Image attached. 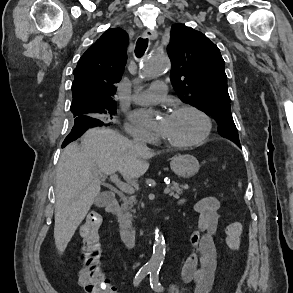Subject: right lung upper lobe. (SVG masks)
<instances>
[{"label": "right lung upper lobe", "mask_w": 293, "mask_h": 293, "mask_svg": "<svg viewBox=\"0 0 293 293\" xmlns=\"http://www.w3.org/2000/svg\"><path fill=\"white\" fill-rule=\"evenodd\" d=\"M127 44L124 30L108 29L79 59L72 84L71 110H75L76 117L95 118L92 109L115 104V85L124 71Z\"/></svg>", "instance_id": "cb5924a9"}]
</instances>
